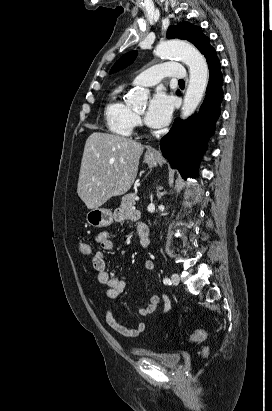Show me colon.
Masks as SVG:
<instances>
[{
  "label": "colon",
  "instance_id": "obj_1",
  "mask_svg": "<svg viewBox=\"0 0 272 411\" xmlns=\"http://www.w3.org/2000/svg\"><path fill=\"white\" fill-rule=\"evenodd\" d=\"M79 249L83 255L91 254V247L87 242H81ZM205 336H206V333L203 329H197L192 334L188 335L187 339L189 341L198 342V341H202L205 338ZM208 353H209V348L204 347L202 350V355L205 357L208 355Z\"/></svg>",
  "mask_w": 272,
  "mask_h": 411
}]
</instances>
